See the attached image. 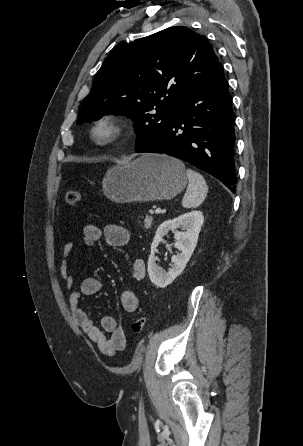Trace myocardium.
Instances as JSON below:
<instances>
[{
    "label": "myocardium",
    "mask_w": 303,
    "mask_h": 446,
    "mask_svg": "<svg viewBox=\"0 0 303 446\" xmlns=\"http://www.w3.org/2000/svg\"><path fill=\"white\" fill-rule=\"evenodd\" d=\"M125 133V126L121 119L112 113L98 116L91 124L89 136L91 141L99 147L112 145L119 141Z\"/></svg>",
    "instance_id": "myocardium-1"
}]
</instances>
